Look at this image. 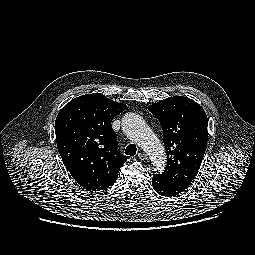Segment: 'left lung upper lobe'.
Listing matches in <instances>:
<instances>
[{"mask_svg":"<svg viewBox=\"0 0 255 255\" xmlns=\"http://www.w3.org/2000/svg\"><path fill=\"white\" fill-rule=\"evenodd\" d=\"M149 110L163 128L168 164L160 175L187 188L197 175L206 150L207 115L198 103L183 96L161 100Z\"/></svg>","mask_w":255,"mask_h":255,"instance_id":"1","label":"left lung upper lobe"}]
</instances>
